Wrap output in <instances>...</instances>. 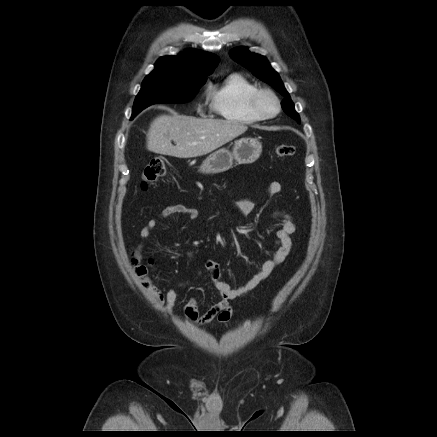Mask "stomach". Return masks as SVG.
Segmentation results:
<instances>
[{
  "label": "stomach",
  "instance_id": "1",
  "mask_svg": "<svg viewBox=\"0 0 437 437\" xmlns=\"http://www.w3.org/2000/svg\"><path fill=\"white\" fill-rule=\"evenodd\" d=\"M262 153V144L254 138H242L234 144L232 152L226 148L210 154L199 167L203 174H217L229 170L233 160L240 164L255 162Z\"/></svg>",
  "mask_w": 437,
  "mask_h": 437
}]
</instances>
